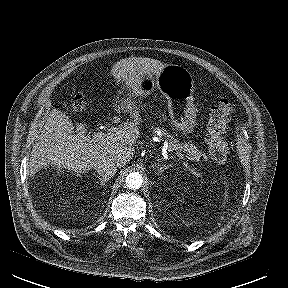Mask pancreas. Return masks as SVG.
<instances>
[{
	"instance_id": "obj_1",
	"label": "pancreas",
	"mask_w": 288,
	"mask_h": 288,
	"mask_svg": "<svg viewBox=\"0 0 288 288\" xmlns=\"http://www.w3.org/2000/svg\"><path fill=\"white\" fill-rule=\"evenodd\" d=\"M155 133L160 131L159 128H154ZM170 139L169 142H165L167 144L169 151H176L177 153H185L186 157L191 161L200 162L207 161L208 157L205 153L198 149L193 144L188 145L187 143H179L176 138L171 135H167Z\"/></svg>"
}]
</instances>
